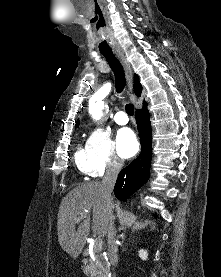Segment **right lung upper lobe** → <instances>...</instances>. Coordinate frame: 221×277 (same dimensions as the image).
I'll return each instance as SVG.
<instances>
[{"mask_svg": "<svg viewBox=\"0 0 221 277\" xmlns=\"http://www.w3.org/2000/svg\"><path fill=\"white\" fill-rule=\"evenodd\" d=\"M134 91L135 93L137 94V96H140L141 95V92H142V86L139 82V77L135 74L134 75ZM79 120L76 122V127L79 126Z\"/></svg>", "mask_w": 221, "mask_h": 277, "instance_id": "right-lung-upper-lobe-1", "label": "right lung upper lobe"}]
</instances>
